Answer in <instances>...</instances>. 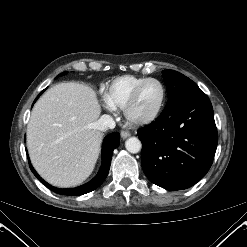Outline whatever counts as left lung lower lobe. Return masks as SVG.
<instances>
[{
  "label": "left lung lower lobe",
  "mask_w": 247,
  "mask_h": 247,
  "mask_svg": "<svg viewBox=\"0 0 247 247\" xmlns=\"http://www.w3.org/2000/svg\"><path fill=\"white\" fill-rule=\"evenodd\" d=\"M145 175L167 190L186 189L210 169L218 143L212 104L200 89L175 96L140 129Z\"/></svg>",
  "instance_id": "0a47b994"
}]
</instances>
